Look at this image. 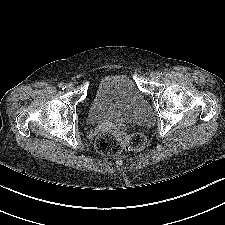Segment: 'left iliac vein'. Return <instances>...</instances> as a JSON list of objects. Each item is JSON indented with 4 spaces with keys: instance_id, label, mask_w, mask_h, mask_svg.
Wrapping results in <instances>:
<instances>
[{
    "instance_id": "1",
    "label": "left iliac vein",
    "mask_w": 225,
    "mask_h": 225,
    "mask_svg": "<svg viewBox=\"0 0 225 225\" xmlns=\"http://www.w3.org/2000/svg\"><path fill=\"white\" fill-rule=\"evenodd\" d=\"M160 76L159 72H151L150 73V78L152 80H156Z\"/></svg>"
}]
</instances>
